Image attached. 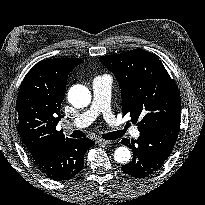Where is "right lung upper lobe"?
Returning <instances> with one entry per match:
<instances>
[{
	"mask_svg": "<svg viewBox=\"0 0 205 205\" xmlns=\"http://www.w3.org/2000/svg\"><path fill=\"white\" fill-rule=\"evenodd\" d=\"M83 60L56 58L37 63L25 76L17 100L19 134L31 155L70 138L56 130L69 73Z\"/></svg>",
	"mask_w": 205,
	"mask_h": 205,
	"instance_id": "right-lung-upper-lobe-1",
	"label": "right lung upper lobe"
}]
</instances>
